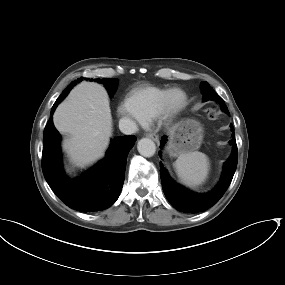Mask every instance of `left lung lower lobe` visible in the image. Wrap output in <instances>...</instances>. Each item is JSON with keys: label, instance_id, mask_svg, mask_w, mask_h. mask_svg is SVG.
Returning <instances> with one entry per match:
<instances>
[{"label": "left lung lower lobe", "instance_id": "left-lung-lower-lobe-1", "mask_svg": "<svg viewBox=\"0 0 285 285\" xmlns=\"http://www.w3.org/2000/svg\"><path fill=\"white\" fill-rule=\"evenodd\" d=\"M230 126L233 132L232 139L230 140V143L233 145L232 156L225 162L222 177L212 191L204 194H198L182 187L171 179L163 164H160V176L163 191L169 202L178 211L188 213L205 211L213 206L227 190L235 173L238 158V150L236 140L234 138V127L232 124ZM166 141L167 137L163 136L160 141V148L165 146Z\"/></svg>", "mask_w": 285, "mask_h": 285}]
</instances>
